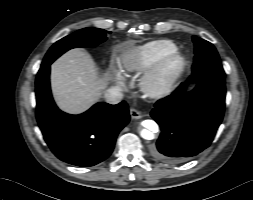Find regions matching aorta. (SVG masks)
Returning <instances> with one entry per match:
<instances>
[{
  "mask_svg": "<svg viewBox=\"0 0 253 200\" xmlns=\"http://www.w3.org/2000/svg\"><path fill=\"white\" fill-rule=\"evenodd\" d=\"M142 125L145 127L140 131L142 138L152 140L155 132L158 131V125L153 120H145Z\"/></svg>",
  "mask_w": 253,
  "mask_h": 200,
  "instance_id": "762f6f07",
  "label": "aorta"
}]
</instances>
